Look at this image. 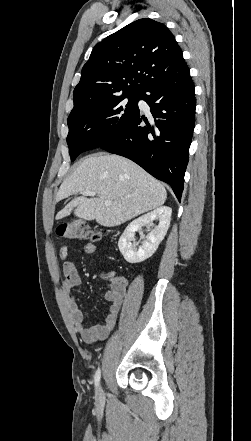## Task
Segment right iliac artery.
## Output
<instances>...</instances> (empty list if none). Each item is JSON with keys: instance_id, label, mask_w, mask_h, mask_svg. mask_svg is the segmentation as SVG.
<instances>
[{"instance_id": "obj_1", "label": "right iliac artery", "mask_w": 251, "mask_h": 441, "mask_svg": "<svg viewBox=\"0 0 251 441\" xmlns=\"http://www.w3.org/2000/svg\"><path fill=\"white\" fill-rule=\"evenodd\" d=\"M100 378H101V370H100V368H98L95 375H94V382H95L96 387L99 386Z\"/></svg>"}]
</instances>
